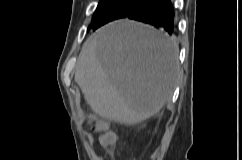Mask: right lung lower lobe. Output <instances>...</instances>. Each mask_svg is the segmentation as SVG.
Segmentation results:
<instances>
[{
	"instance_id": "1",
	"label": "right lung lower lobe",
	"mask_w": 242,
	"mask_h": 160,
	"mask_svg": "<svg viewBox=\"0 0 242 160\" xmlns=\"http://www.w3.org/2000/svg\"><path fill=\"white\" fill-rule=\"evenodd\" d=\"M125 17L174 33V9L170 0H147L134 8Z\"/></svg>"
}]
</instances>
